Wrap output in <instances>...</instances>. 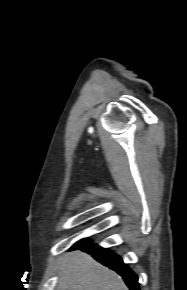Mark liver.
<instances>
[{
    "mask_svg": "<svg viewBox=\"0 0 187 290\" xmlns=\"http://www.w3.org/2000/svg\"><path fill=\"white\" fill-rule=\"evenodd\" d=\"M58 274L56 290H129L114 271L81 251L65 256Z\"/></svg>",
    "mask_w": 187,
    "mask_h": 290,
    "instance_id": "obj_1",
    "label": "liver"
}]
</instances>
